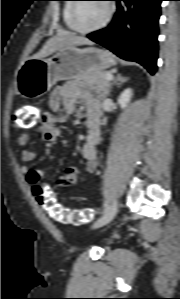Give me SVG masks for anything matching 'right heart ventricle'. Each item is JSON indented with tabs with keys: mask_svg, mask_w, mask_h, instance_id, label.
Returning a JSON list of instances; mask_svg holds the SVG:
<instances>
[{
	"mask_svg": "<svg viewBox=\"0 0 180 299\" xmlns=\"http://www.w3.org/2000/svg\"><path fill=\"white\" fill-rule=\"evenodd\" d=\"M72 1L73 0H66V3L63 6L62 10V17L64 24L68 29L74 30L70 21V12H71V7H72Z\"/></svg>",
	"mask_w": 180,
	"mask_h": 299,
	"instance_id": "obj_1",
	"label": "right heart ventricle"
}]
</instances>
